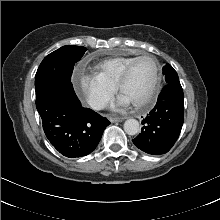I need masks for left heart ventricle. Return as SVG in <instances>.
Here are the masks:
<instances>
[{
    "mask_svg": "<svg viewBox=\"0 0 220 220\" xmlns=\"http://www.w3.org/2000/svg\"><path fill=\"white\" fill-rule=\"evenodd\" d=\"M155 74L154 62L150 58L138 61L131 72L130 78L122 90L130 103L139 102L148 94Z\"/></svg>",
    "mask_w": 220,
    "mask_h": 220,
    "instance_id": "1",
    "label": "left heart ventricle"
}]
</instances>
